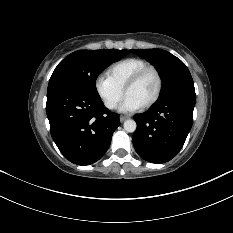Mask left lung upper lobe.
<instances>
[{"label": "left lung upper lobe", "instance_id": "1", "mask_svg": "<svg viewBox=\"0 0 233 233\" xmlns=\"http://www.w3.org/2000/svg\"><path fill=\"white\" fill-rule=\"evenodd\" d=\"M131 52L146 58L157 67L163 82L160 99L176 94L195 96L191 74L179 58L161 49H136Z\"/></svg>", "mask_w": 233, "mask_h": 233}]
</instances>
